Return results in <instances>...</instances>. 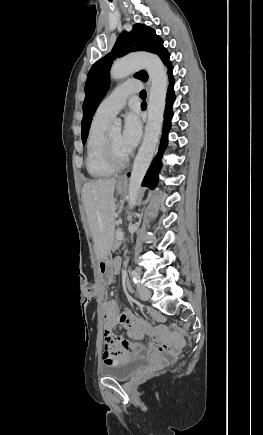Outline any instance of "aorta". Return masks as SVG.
Segmentation results:
<instances>
[{
	"mask_svg": "<svg viewBox=\"0 0 263 435\" xmlns=\"http://www.w3.org/2000/svg\"><path fill=\"white\" fill-rule=\"evenodd\" d=\"M140 68H144L148 72L151 87L145 134L135 157L129 181L127 200L130 208H133L138 202L141 183L154 156L161 134L167 93V75L160 58L149 53L126 56L116 61L110 71V77L116 80L127 77ZM111 130L120 131V121L116 120Z\"/></svg>",
	"mask_w": 263,
	"mask_h": 435,
	"instance_id": "762f6f07",
	"label": "aorta"
}]
</instances>
